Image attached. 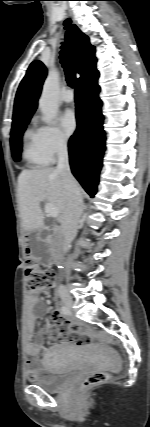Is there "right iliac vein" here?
Here are the masks:
<instances>
[{"instance_id":"right-iliac-vein-1","label":"right iliac vein","mask_w":150,"mask_h":427,"mask_svg":"<svg viewBox=\"0 0 150 427\" xmlns=\"http://www.w3.org/2000/svg\"><path fill=\"white\" fill-rule=\"evenodd\" d=\"M60 297H61V300H62L63 304L67 308L71 309L73 307V299H72L71 295L68 292L62 291L60 293Z\"/></svg>"}]
</instances>
